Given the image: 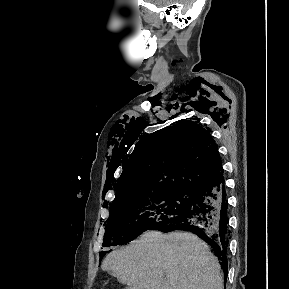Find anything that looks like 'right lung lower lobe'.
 <instances>
[{
    "label": "right lung lower lobe",
    "mask_w": 289,
    "mask_h": 289,
    "mask_svg": "<svg viewBox=\"0 0 289 289\" xmlns=\"http://www.w3.org/2000/svg\"><path fill=\"white\" fill-rule=\"evenodd\" d=\"M193 197L186 211L170 218L156 230L170 232L187 230L204 240L219 258L227 277L228 201L223 174L192 191Z\"/></svg>",
    "instance_id": "98d812e1"
}]
</instances>
